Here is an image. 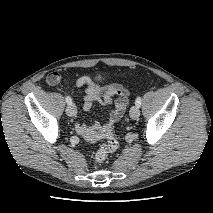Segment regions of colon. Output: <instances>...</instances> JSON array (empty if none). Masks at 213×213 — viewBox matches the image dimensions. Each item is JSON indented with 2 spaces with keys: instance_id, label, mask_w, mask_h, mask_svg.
<instances>
[{
  "instance_id": "obj_1",
  "label": "colon",
  "mask_w": 213,
  "mask_h": 213,
  "mask_svg": "<svg viewBox=\"0 0 213 213\" xmlns=\"http://www.w3.org/2000/svg\"><path fill=\"white\" fill-rule=\"evenodd\" d=\"M103 137L105 141L100 145L95 153V165L98 167L102 165L108 156L115 152L118 148V141L114 135L112 124H107L103 130Z\"/></svg>"
}]
</instances>
